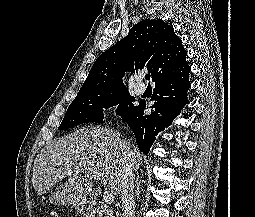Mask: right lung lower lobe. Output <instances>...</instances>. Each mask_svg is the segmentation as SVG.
<instances>
[{
  "instance_id": "obj_1",
  "label": "right lung lower lobe",
  "mask_w": 255,
  "mask_h": 217,
  "mask_svg": "<svg viewBox=\"0 0 255 217\" xmlns=\"http://www.w3.org/2000/svg\"><path fill=\"white\" fill-rule=\"evenodd\" d=\"M190 67L186 59L167 72L157 77L152 100L151 114L144 115L146 103L141 101L138 106L122 119L133 131L140 151L148 153L156 135L169 126L187 103V91Z\"/></svg>"
}]
</instances>
